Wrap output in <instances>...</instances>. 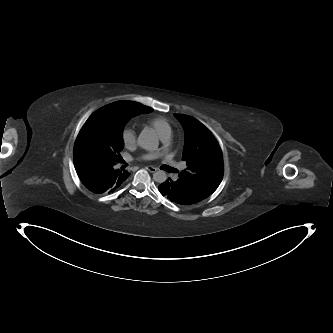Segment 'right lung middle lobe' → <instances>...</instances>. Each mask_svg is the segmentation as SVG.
<instances>
[{
  "label": "right lung middle lobe",
  "instance_id": "dd1d6c3e",
  "mask_svg": "<svg viewBox=\"0 0 333 333\" xmlns=\"http://www.w3.org/2000/svg\"><path fill=\"white\" fill-rule=\"evenodd\" d=\"M136 115L130 109L106 105L93 113L80 130L74 146V162L102 167L120 159L123 128Z\"/></svg>",
  "mask_w": 333,
  "mask_h": 333
}]
</instances>
